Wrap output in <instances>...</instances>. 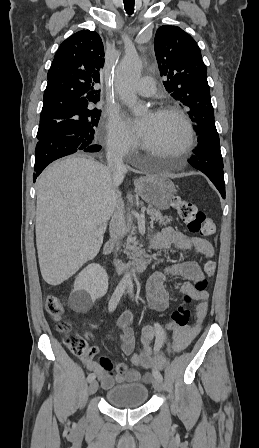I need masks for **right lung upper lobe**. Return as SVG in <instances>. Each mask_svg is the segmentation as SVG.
<instances>
[{"label":"right lung upper lobe","instance_id":"1","mask_svg":"<svg viewBox=\"0 0 259 448\" xmlns=\"http://www.w3.org/2000/svg\"><path fill=\"white\" fill-rule=\"evenodd\" d=\"M104 66L100 36L82 30L63 41L47 74L41 114L72 111L96 104Z\"/></svg>","mask_w":259,"mask_h":448}]
</instances>
